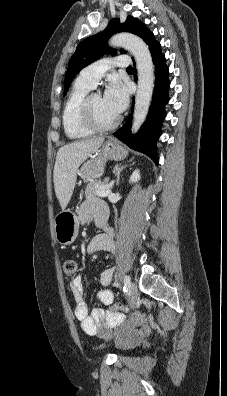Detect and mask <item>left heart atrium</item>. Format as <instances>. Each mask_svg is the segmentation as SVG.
Masks as SVG:
<instances>
[{
    "label": "left heart atrium",
    "mask_w": 227,
    "mask_h": 396,
    "mask_svg": "<svg viewBox=\"0 0 227 396\" xmlns=\"http://www.w3.org/2000/svg\"><path fill=\"white\" fill-rule=\"evenodd\" d=\"M128 90L118 79H112L103 96L106 108L115 116L122 113L128 105Z\"/></svg>",
    "instance_id": "obj_1"
}]
</instances>
